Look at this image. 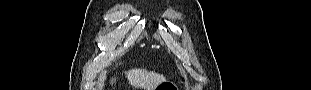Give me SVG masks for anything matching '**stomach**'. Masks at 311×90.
<instances>
[{"instance_id": "stomach-1", "label": "stomach", "mask_w": 311, "mask_h": 90, "mask_svg": "<svg viewBox=\"0 0 311 90\" xmlns=\"http://www.w3.org/2000/svg\"><path fill=\"white\" fill-rule=\"evenodd\" d=\"M156 90H176V86L168 81H164L156 87Z\"/></svg>"}]
</instances>
